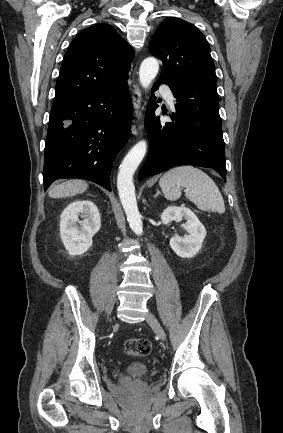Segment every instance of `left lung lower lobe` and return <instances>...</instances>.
<instances>
[{
  "label": "left lung lower lobe",
  "mask_w": 283,
  "mask_h": 433,
  "mask_svg": "<svg viewBox=\"0 0 283 433\" xmlns=\"http://www.w3.org/2000/svg\"><path fill=\"white\" fill-rule=\"evenodd\" d=\"M159 79L153 85L156 91ZM173 92V91H172ZM175 92H173V95ZM157 107L154 94L147 106L146 127L150 135L147 161L138 180L179 165H195L215 169L226 181V163L221 123L176 108L172 122L154 116Z\"/></svg>",
  "instance_id": "0a47b994"
}]
</instances>
